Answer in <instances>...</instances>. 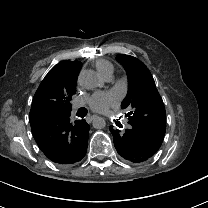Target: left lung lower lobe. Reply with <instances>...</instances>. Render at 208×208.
Masks as SVG:
<instances>
[{
  "label": "left lung lower lobe",
  "instance_id": "obj_1",
  "mask_svg": "<svg viewBox=\"0 0 208 208\" xmlns=\"http://www.w3.org/2000/svg\"><path fill=\"white\" fill-rule=\"evenodd\" d=\"M124 131L109 129L113 135V142L118 154L131 163H141L150 159L160 148L164 136L142 128L129 121Z\"/></svg>",
  "mask_w": 208,
  "mask_h": 208
}]
</instances>
